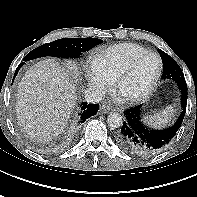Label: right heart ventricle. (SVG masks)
I'll use <instances>...</instances> for the list:
<instances>
[{
  "label": "right heart ventricle",
  "instance_id": "right-heart-ventricle-1",
  "mask_svg": "<svg viewBox=\"0 0 197 197\" xmlns=\"http://www.w3.org/2000/svg\"><path fill=\"white\" fill-rule=\"evenodd\" d=\"M147 51L134 43L116 44L95 53L92 56V67L108 79L115 80L134 57Z\"/></svg>",
  "mask_w": 197,
  "mask_h": 197
}]
</instances>
